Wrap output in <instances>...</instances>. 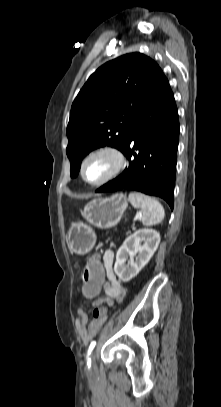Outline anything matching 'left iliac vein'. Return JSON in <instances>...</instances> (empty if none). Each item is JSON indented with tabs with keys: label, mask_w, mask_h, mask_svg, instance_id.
Wrapping results in <instances>:
<instances>
[{
	"label": "left iliac vein",
	"mask_w": 221,
	"mask_h": 407,
	"mask_svg": "<svg viewBox=\"0 0 221 407\" xmlns=\"http://www.w3.org/2000/svg\"><path fill=\"white\" fill-rule=\"evenodd\" d=\"M90 360H91V363H90V368H89V371H88V376L92 377L97 372V365H96V362H95V353L91 354Z\"/></svg>",
	"instance_id": "4c4485c4"
}]
</instances>
